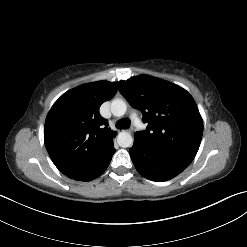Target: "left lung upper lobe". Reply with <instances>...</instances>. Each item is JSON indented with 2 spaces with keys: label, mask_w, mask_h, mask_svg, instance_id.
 Instances as JSON below:
<instances>
[{
  "label": "left lung upper lobe",
  "mask_w": 247,
  "mask_h": 247,
  "mask_svg": "<svg viewBox=\"0 0 247 247\" xmlns=\"http://www.w3.org/2000/svg\"><path fill=\"white\" fill-rule=\"evenodd\" d=\"M119 91L148 123L146 131L135 133L134 141L187 168L203 133L202 119L192 96L173 83L149 75L121 80Z\"/></svg>",
  "instance_id": "obj_1"
}]
</instances>
